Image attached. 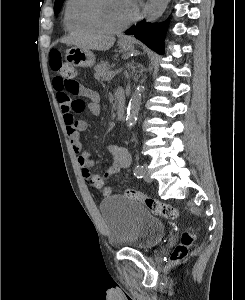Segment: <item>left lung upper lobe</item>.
<instances>
[{
  "label": "left lung upper lobe",
  "mask_w": 245,
  "mask_h": 300,
  "mask_svg": "<svg viewBox=\"0 0 245 300\" xmlns=\"http://www.w3.org/2000/svg\"><path fill=\"white\" fill-rule=\"evenodd\" d=\"M64 0H56L55 1V4H54V12L57 14L59 13L61 7H62V4H63Z\"/></svg>",
  "instance_id": "obj_1"
}]
</instances>
